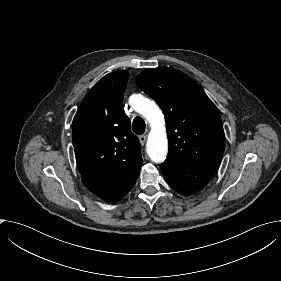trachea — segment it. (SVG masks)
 Returning <instances> with one entry per match:
<instances>
[{"label": "trachea", "instance_id": "trachea-1", "mask_svg": "<svg viewBox=\"0 0 281 281\" xmlns=\"http://www.w3.org/2000/svg\"><path fill=\"white\" fill-rule=\"evenodd\" d=\"M132 129L137 135H142L145 131L144 120L139 116L135 117L132 123Z\"/></svg>", "mask_w": 281, "mask_h": 281}]
</instances>
